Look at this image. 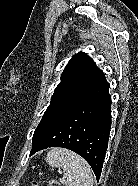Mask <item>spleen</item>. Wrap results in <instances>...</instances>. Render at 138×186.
I'll return each instance as SVG.
<instances>
[{"instance_id":"3e777b00","label":"spleen","mask_w":138,"mask_h":186,"mask_svg":"<svg viewBox=\"0 0 138 186\" xmlns=\"http://www.w3.org/2000/svg\"><path fill=\"white\" fill-rule=\"evenodd\" d=\"M51 167L63 169L60 182L65 186H93V175L88 163L76 153L63 148H52L46 157Z\"/></svg>"}]
</instances>
